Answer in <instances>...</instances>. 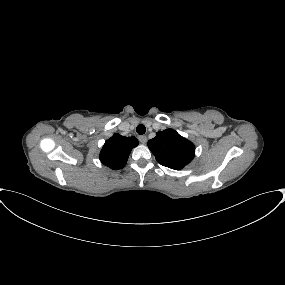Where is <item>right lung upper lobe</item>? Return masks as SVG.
<instances>
[{"mask_svg": "<svg viewBox=\"0 0 285 285\" xmlns=\"http://www.w3.org/2000/svg\"><path fill=\"white\" fill-rule=\"evenodd\" d=\"M138 145V140L114 134L108 139L100 153L101 162L111 169H121L125 166L130 151Z\"/></svg>", "mask_w": 285, "mask_h": 285, "instance_id": "1", "label": "right lung upper lobe"}]
</instances>
